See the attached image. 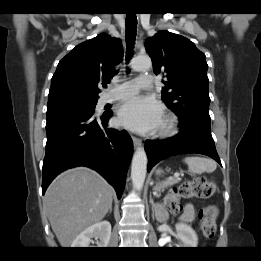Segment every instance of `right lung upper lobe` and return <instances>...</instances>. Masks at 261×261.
Here are the masks:
<instances>
[{
    "label": "right lung upper lobe",
    "instance_id": "cb5924a9",
    "mask_svg": "<svg viewBox=\"0 0 261 261\" xmlns=\"http://www.w3.org/2000/svg\"><path fill=\"white\" fill-rule=\"evenodd\" d=\"M122 57L121 40L106 33L80 43L58 63L48 99L69 95L98 100V84L109 83Z\"/></svg>",
    "mask_w": 261,
    "mask_h": 261
}]
</instances>
